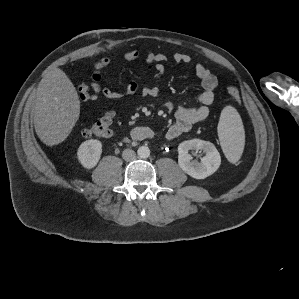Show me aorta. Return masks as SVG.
Instances as JSON below:
<instances>
[{"instance_id": "aorta-1", "label": "aorta", "mask_w": 299, "mask_h": 299, "mask_svg": "<svg viewBox=\"0 0 299 299\" xmlns=\"http://www.w3.org/2000/svg\"><path fill=\"white\" fill-rule=\"evenodd\" d=\"M137 153L140 158H147L150 155V149L147 146H141L138 148Z\"/></svg>"}]
</instances>
